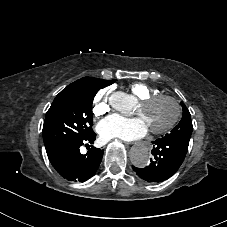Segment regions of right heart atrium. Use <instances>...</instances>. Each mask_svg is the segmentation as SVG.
Segmentation results:
<instances>
[{
	"label": "right heart atrium",
	"mask_w": 227,
	"mask_h": 227,
	"mask_svg": "<svg viewBox=\"0 0 227 227\" xmlns=\"http://www.w3.org/2000/svg\"><path fill=\"white\" fill-rule=\"evenodd\" d=\"M108 88L100 90L95 97L94 113L97 116L103 115L110 110Z\"/></svg>",
	"instance_id": "right-heart-atrium-1"
}]
</instances>
